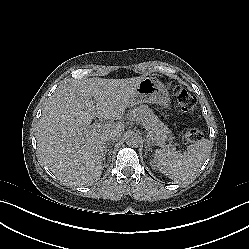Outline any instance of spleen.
<instances>
[{
  "label": "spleen",
  "instance_id": "spleen-1",
  "mask_svg": "<svg viewBox=\"0 0 249 249\" xmlns=\"http://www.w3.org/2000/svg\"><path fill=\"white\" fill-rule=\"evenodd\" d=\"M212 146L209 140L203 139L188 146L184 152L173 150L156 151L154 162L159 170L172 179H180L181 172H194L200 169L209 157Z\"/></svg>",
  "mask_w": 249,
  "mask_h": 249
}]
</instances>
